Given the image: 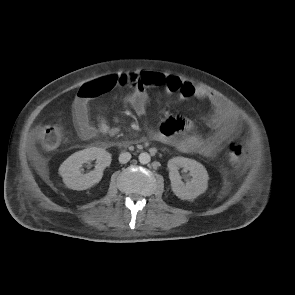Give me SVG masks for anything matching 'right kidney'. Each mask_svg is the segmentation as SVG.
Here are the masks:
<instances>
[{
  "mask_svg": "<svg viewBox=\"0 0 295 295\" xmlns=\"http://www.w3.org/2000/svg\"><path fill=\"white\" fill-rule=\"evenodd\" d=\"M93 160L98 162L95 169L87 174H82L80 170L82 164ZM110 163L111 155L107 151L98 147H90L69 156L61 164L59 174L68 188L86 190L101 180L104 168Z\"/></svg>",
  "mask_w": 295,
  "mask_h": 295,
  "instance_id": "1",
  "label": "right kidney"
}]
</instances>
